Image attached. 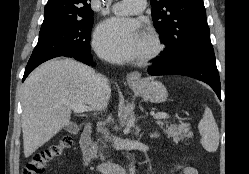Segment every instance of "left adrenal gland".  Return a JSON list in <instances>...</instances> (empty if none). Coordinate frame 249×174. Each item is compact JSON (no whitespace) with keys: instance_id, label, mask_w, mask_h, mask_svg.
Wrapping results in <instances>:
<instances>
[{"instance_id":"1","label":"left adrenal gland","mask_w":249,"mask_h":174,"mask_svg":"<svg viewBox=\"0 0 249 174\" xmlns=\"http://www.w3.org/2000/svg\"><path fill=\"white\" fill-rule=\"evenodd\" d=\"M150 136L151 137H158V133H156V132L155 133H151Z\"/></svg>"}]
</instances>
